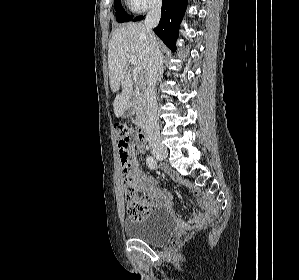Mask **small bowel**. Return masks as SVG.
Wrapping results in <instances>:
<instances>
[{
  "label": "small bowel",
  "instance_id": "1",
  "mask_svg": "<svg viewBox=\"0 0 299 280\" xmlns=\"http://www.w3.org/2000/svg\"><path fill=\"white\" fill-rule=\"evenodd\" d=\"M142 150V145L133 137L129 149V184L143 193L144 197L141 200L148 205L149 210H151V207H166L170 212H173L171 194L168 191L159 189L157 180L154 177L139 170L137 154L142 152ZM198 203L202 211L195 212L190 219L189 223L193 225H202L212 219L217 213V207L208 198L200 197Z\"/></svg>",
  "mask_w": 299,
  "mask_h": 280
}]
</instances>
